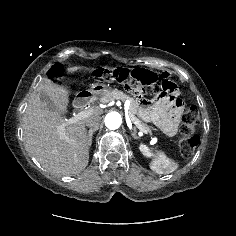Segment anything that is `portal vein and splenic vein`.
I'll return each instance as SVG.
<instances>
[{"mask_svg": "<svg viewBox=\"0 0 236 236\" xmlns=\"http://www.w3.org/2000/svg\"><path fill=\"white\" fill-rule=\"evenodd\" d=\"M129 105L130 103L128 101L125 102V111L127 113V117L133 122V124H135V126L142 131L143 127L140 123V121L138 119H136L132 114H129ZM94 109H88V110H83L81 112H79L78 114L74 115L73 117L66 119L65 120V124H63L62 126L59 127V133L61 136H63V128L67 125V124H74L82 119H85L91 115L94 114Z\"/></svg>", "mask_w": 236, "mask_h": 236, "instance_id": "18ae733b", "label": "portal vein and splenic vein"}]
</instances>
